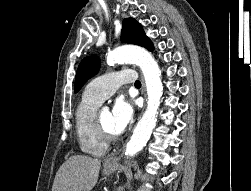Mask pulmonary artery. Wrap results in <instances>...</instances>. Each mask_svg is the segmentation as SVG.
<instances>
[{"mask_svg":"<svg viewBox=\"0 0 251 191\" xmlns=\"http://www.w3.org/2000/svg\"><path fill=\"white\" fill-rule=\"evenodd\" d=\"M133 72V68H126L102 75L90 84L83 96L102 102L114 94L122 84L133 82L138 77V74Z\"/></svg>","mask_w":251,"mask_h":191,"instance_id":"obj_1","label":"pulmonary artery"}]
</instances>
